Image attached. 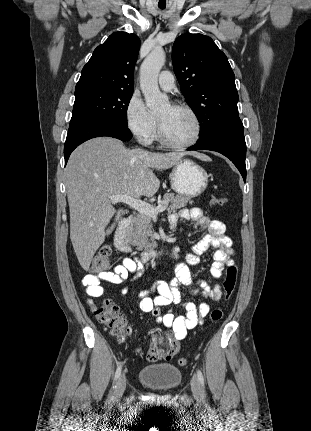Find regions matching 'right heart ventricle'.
Segmentation results:
<instances>
[{
	"instance_id": "obj_1",
	"label": "right heart ventricle",
	"mask_w": 311,
	"mask_h": 431,
	"mask_svg": "<svg viewBox=\"0 0 311 431\" xmlns=\"http://www.w3.org/2000/svg\"><path fill=\"white\" fill-rule=\"evenodd\" d=\"M155 136H157L156 129H155V131L153 133V137H155Z\"/></svg>"
}]
</instances>
